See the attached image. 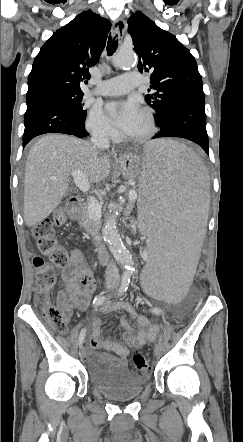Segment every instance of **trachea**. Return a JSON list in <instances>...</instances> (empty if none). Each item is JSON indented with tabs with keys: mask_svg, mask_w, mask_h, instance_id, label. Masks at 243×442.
I'll list each match as a JSON object with an SVG mask.
<instances>
[{
	"mask_svg": "<svg viewBox=\"0 0 243 442\" xmlns=\"http://www.w3.org/2000/svg\"><path fill=\"white\" fill-rule=\"evenodd\" d=\"M118 46V40L111 37V35L108 38V42H107V55L111 56L113 55V53L116 51Z\"/></svg>",
	"mask_w": 243,
	"mask_h": 442,
	"instance_id": "trachea-1",
	"label": "trachea"
}]
</instances>
